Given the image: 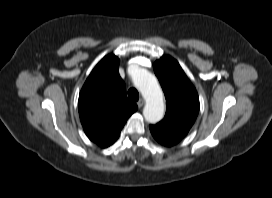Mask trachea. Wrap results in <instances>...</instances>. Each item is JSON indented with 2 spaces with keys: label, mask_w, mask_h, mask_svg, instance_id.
<instances>
[{
  "label": "trachea",
  "mask_w": 272,
  "mask_h": 198,
  "mask_svg": "<svg viewBox=\"0 0 272 198\" xmlns=\"http://www.w3.org/2000/svg\"><path fill=\"white\" fill-rule=\"evenodd\" d=\"M128 97L132 101H138V99H139V93H138V91L135 88H130L128 90Z\"/></svg>",
  "instance_id": "trachea-1"
}]
</instances>
